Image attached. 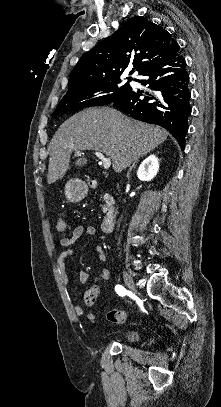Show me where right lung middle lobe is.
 <instances>
[{"instance_id":"obj_1","label":"right lung middle lobe","mask_w":221,"mask_h":407,"mask_svg":"<svg viewBox=\"0 0 221 407\" xmlns=\"http://www.w3.org/2000/svg\"><path fill=\"white\" fill-rule=\"evenodd\" d=\"M119 83L105 82L67 92L53 114H63L85 107L110 104L125 96L132 89L129 83L123 86H120Z\"/></svg>"}]
</instances>
